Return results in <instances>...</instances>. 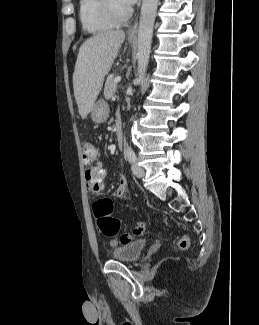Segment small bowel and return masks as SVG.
I'll list each match as a JSON object with an SVG mask.
<instances>
[{
  "instance_id": "small-bowel-1",
  "label": "small bowel",
  "mask_w": 259,
  "mask_h": 325,
  "mask_svg": "<svg viewBox=\"0 0 259 325\" xmlns=\"http://www.w3.org/2000/svg\"><path fill=\"white\" fill-rule=\"evenodd\" d=\"M85 163V179L86 188L90 195H98L103 187V181L107 175V171L101 161L97 158L92 162ZM128 183L125 176H120L118 186L113 192V197L117 199H125L127 197Z\"/></svg>"
}]
</instances>
